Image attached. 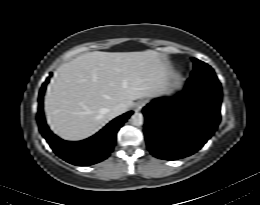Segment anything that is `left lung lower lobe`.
Segmentation results:
<instances>
[{
    "label": "left lung lower lobe",
    "mask_w": 260,
    "mask_h": 205,
    "mask_svg": "<svg viewBox=\"0 0 260 205\" xmlns=\"http://www.w3.org/2000/svg\"><path fill=\"white\" fill-rule=\"evenodd\" d=\"M221 84L190 77L173 99H157L143 108L145 138L157 158L176 160L198 151L220 122Z\"/></svg>",
    "instance_id": "obj_1"
}]
</instances>
